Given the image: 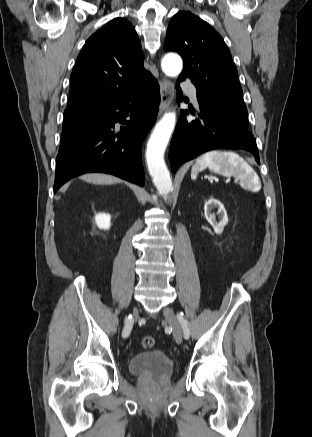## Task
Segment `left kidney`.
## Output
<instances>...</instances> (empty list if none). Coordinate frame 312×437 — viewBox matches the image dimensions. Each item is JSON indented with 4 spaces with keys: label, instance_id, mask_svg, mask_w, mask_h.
<instances>
[{
    "label": "left kidney",
    "instance_id": "left-kidney-1",
    "mask_svg": "<svg viewBox=\"0 0 312 437\" xmlns=\"http://www.w3.org/2000/svg\"><path fill=\"white\" fill-rule=\"evenodd\" d=\"M215 207H218V214L220 219L219 221L216 219L215 214L211 213L212 209ZM204 214L207 221L213 226V228L217 232H221L228 222V217L223 204L212 196L205 203Z\"/></svg>",
    "mask_w": 312,
    "mask_h": 437
}]
</instances>
